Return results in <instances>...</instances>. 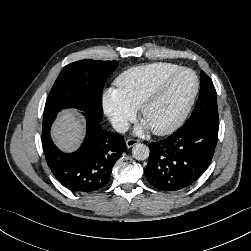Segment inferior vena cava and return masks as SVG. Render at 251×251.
<instances>
[{
    "label": "inferior vena cava",
    "instance_id": "inferior-vena-cava-1",
    "mask_svg": "<svg viewBox=\"0 0 251 251\" xmlns=\"http://www.w3.org/2000/svg\"><path fill=\"white\" fill-rule=\"evenodd\" d=\"M112 127L119 133H125L129 129V123L123 119H113Z\"/></svg>",
    "mask_w": 251,
    "mask_h": 251
}]
</instances>
